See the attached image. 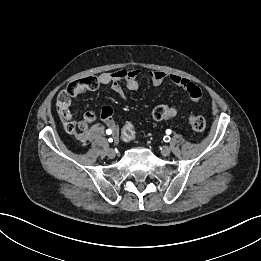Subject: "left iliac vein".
<instances>
[{"label":"left iliac vein","instance_id":"obj_1","mask_svg":"<svg viewBox=\"0 0 261 261\" xmlns=\"http://www.w3.org/2000/svg\"><path fill=\"white\" fill-rule=\"evenodd\" d=\"M171 152V148L169 146H163L161 148V153L163 156H168Z\"/></svg>","mask_w":261,"mask_h":261}]
</instances>
